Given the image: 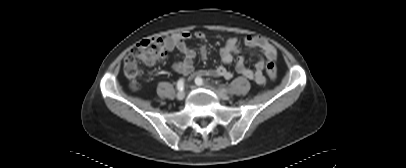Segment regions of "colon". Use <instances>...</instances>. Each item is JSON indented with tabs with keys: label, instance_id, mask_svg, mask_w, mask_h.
Segmentation results:
<instances>
[{
	"label": "colon",
	"instance_id": "obj_1",
	"mask_svg": "<svg viewBox=\"0 0 406 168\" xmlns=\"http://www.w3.org/2000/svg\"><path fill=\"white\" fill-rule=\"evenodd\" d=\"M167 56L164 40L153 36L135 45L125 56L123 71L132 85H135L140 75L141 65L154 66ZM266 71L270 79L277 77V68L272 61L266 63Z\"/></svg>",
	"mask_w": 406,
	"mask_h": 168
}]
</instances>
